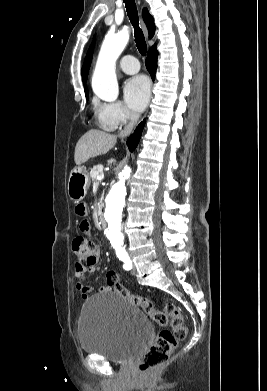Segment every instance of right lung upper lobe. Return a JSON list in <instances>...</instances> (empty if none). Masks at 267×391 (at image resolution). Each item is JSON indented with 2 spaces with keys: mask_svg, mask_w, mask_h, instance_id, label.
<instances>
[{
  "mask_svg": "<svg viewBox=\"0 0 267 391\" xmlns=\"http://www.w3.org/2000/svg\"><path fill=\"white\" fill-rule=\"evenodd\" d=\"M142 15H143V19L148 27V30H149V37L151 38L155 32V25H154L153 17L149 14L147 9H143ZM93 47H94V43L92 44V46L88 52V55L85 59V62H84L83 68H82V78H83L84 84L87 81L88 70L90 68V64H91V60H92ZM152 49H156L155 45L152 48H150V50H152ZM86 91H87V89L85 88V92Z\"/></svg>",
  "mask_w": 267,
  "mask_h": 391,
  "instance_id": "obj_1",
  "label": "right lung upper lobe"
}]
</instances>
